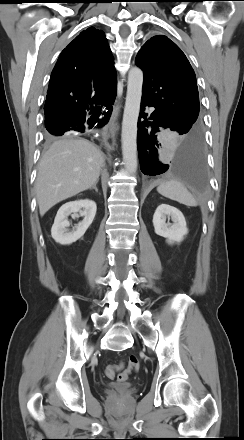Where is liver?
Masks as SVG:
<instances>
[{"label": "liver", "instance_id": "liver-1", "mask_svg": "<svg viewBox=\"0 0 244 440\" xmlns=\"http://www.w3.org/2000/svg\"><path fill=\"white\" fill-rule=\"evenodd\" d=\"M105 164L103 153L82 138L66 136L43 154L35 183L41 216L57 203L90 189Z\"/></svg>", "mask_w": 244, "mask_h": 440}]
</instances>
